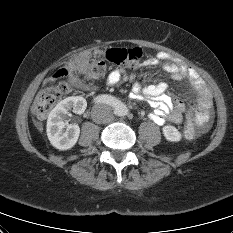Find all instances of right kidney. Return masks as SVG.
Segmentation results:
<instances>
[{
    "label": "right kidney",
    "instance_id": "1",
    "mask_svg": "<svg viewBox=\"0 0 233 233\" xmlns=\"http://www.w3.org/2000/svg\"><path fill=\"white\" fill-rule=\"evenodd\" d=\"M87 102L83 97H68L56 105L47 120V136L53 147L59 150L71 149L79 138L80 128L77 124L66 125L64 122L72 110L83 114Z\"/></svg>",
    "mask_w": 233,
    "mask_h": 233
}]
</instances>
